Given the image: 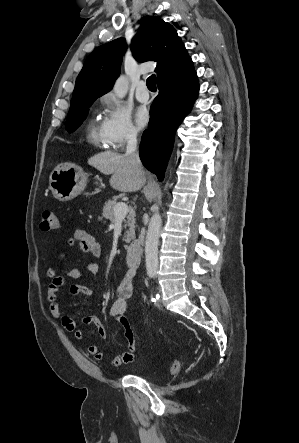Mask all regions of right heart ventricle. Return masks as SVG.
Here are the masks:
<instances>
[{
  "instance_id": "right-heart-ventricle-1",
  "label": "right heart ventricle",
  "mask_w": 299,
  "mask_h": 443,
  "mask_svg": "<svg viewBox=\"0 0 299 443\" xmlns=\"http://www.w3.org/2000/svg\"><path fill=\"white\" fill-rule=\"evenodd\" d=\"M88 140L97 147H107L105 139L103 137L101 127L97 126L94 121L90 123L88 129Z\"/></svg>"
}]
</instances>
